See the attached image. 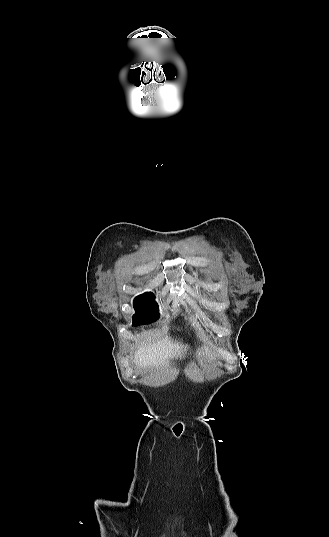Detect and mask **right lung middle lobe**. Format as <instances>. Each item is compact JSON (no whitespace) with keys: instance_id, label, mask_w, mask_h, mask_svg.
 Returning a JSON list of instances; mask_svg holds the SVG:
<instances>
[{"instance_id":"1","label":"right lung middle lobe","mask_w":329,"mask_h":537,"mask_svg":"<svg viewBox=\"0 0 329 537\" xmlns=\"http://www.w3.org/2000/svg\"><path fill=\"white\" fill-rule=\"evenodd\" d=\"M133 307L135 309L133 325L135 326L153 322L159 317V308L153 293L137 296L133 301Z\"/></svg>"}]
</instances>
